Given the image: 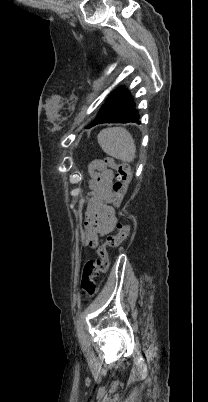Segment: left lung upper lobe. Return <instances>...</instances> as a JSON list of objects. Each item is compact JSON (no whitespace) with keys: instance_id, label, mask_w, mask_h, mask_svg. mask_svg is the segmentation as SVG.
<instances>
[{"instance_id":"5c2ea615","label":"left lung upper lobe","mask_w":208,"mask_h":402,"mask_svg":"<svg viewBox=\"0 0 208 402\" xmlns=\"http://www.w3.org/2000/svg\"><path fill=\"white\" fill-rule=\"evenodd\" d=\"M127 93L128 91H125L124 87L118 88L111 96H109L108 100L101 108L98 117L92 123L102 118L111 108L118 104Z\"/></svg>"}]
</instances>
